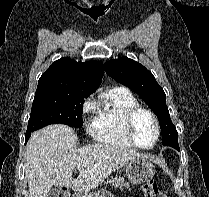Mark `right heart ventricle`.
<instances>
[{
    "label": "right heart ventricle",
    "mask_w": 209,
    "mask_h": 197,
    "mask_svg": "<svg viewBox=\"0 0 209 197\" xmlns=\"http://www.w3.org/2000/svg\"><path fill=\"white\" fill-rule=\"evenodd\" d=\"M136 105V97L125 87L106 91L97 103V114L92 121L96 140L117 147H133L126 135L125 119L128 111Z\"/></svg>",
    "instance_id": "obj_1"
}]
</instances>
